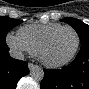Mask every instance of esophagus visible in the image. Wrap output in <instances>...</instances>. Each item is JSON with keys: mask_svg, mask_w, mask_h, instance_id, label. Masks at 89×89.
I'll return each instance as SVG.
<instances>
[{"mask_svg": "<svg viewBox=\"0 0 89 89\" xmlns=\"http://www.w3.org/2000/svg\"><path fill=\"white\" fill-rule=\"evenodd\" d=\"M28 67H29L30 70H33L34 68H37V66L34 65L33 63H29Z\"/></svg>", "mask_w": 89, "mask_h": 89, "instance_id": "34e87169", "label": "esophagus"}]
</instances>
